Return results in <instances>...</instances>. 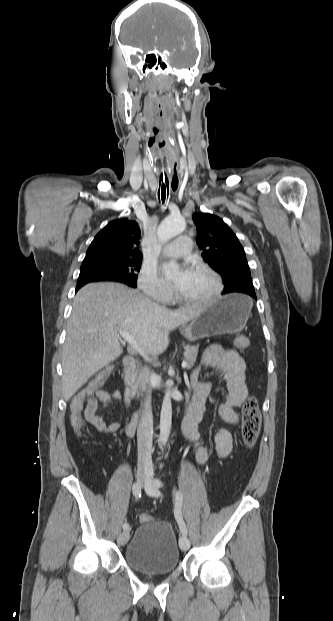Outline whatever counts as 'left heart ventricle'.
Listing matches in <instances>:
<instances>
[{
	"label": "left heart ventricle",
	"instance_id": "1",
	"mask_svg": "<svg viewBox=\"0 0 333 621\" xmlns=\"http://www.w3.org/2000/svg\"><path fill=\"white\" fill-rule=\"evenodd\" d=\"M215 290V282L205 272L190 270V275L178 293L187 298H204Z\"/></svg>",
	"mask_w": 333,
	"mask_h": 621
}]
</instances>
